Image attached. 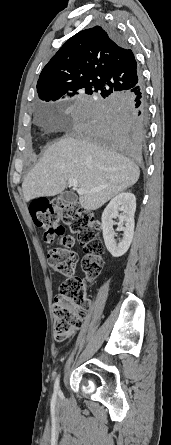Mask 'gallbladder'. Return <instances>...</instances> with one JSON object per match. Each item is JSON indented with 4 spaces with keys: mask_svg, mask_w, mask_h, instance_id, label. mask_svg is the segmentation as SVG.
<instances>
[{
    "mask_svg": "<svg viewBox=\"0 0 171 445\" xmlns=\"http://www.w3.org/2000/svg\"><path fill=\"white\" fill-rule=\"evenodd\" d=\"M60 199H61L63 202H67V203H69V202H72V201L74 200V197H73V195H72L71 193H69V192H63V193L60 195Z\"/></svg>",
    "mask_w": 171,
    "mask_h": 445,
    "instance_id": "bac80fb5",
    "label": "gallbladder"
}]
</instances>
